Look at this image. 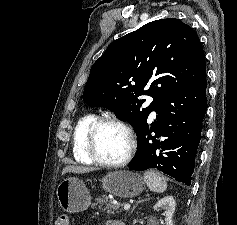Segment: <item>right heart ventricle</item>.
Instances as JSON below:
<instances>
[{"label": "right heart ventricle", "instance_id": "1", "mask_svg": "<svg viewBox=\"0 0 237 225\" xmlns=\"http://www.w3.org/2000/svg\"><path fill=\"white\" fill-rule=\"evenodd\" d=\"M97 120V116L93 113H87L80 117L76 122L73 131V147L72 152L76 161L92 164L94 160L89 156L86 150V136L90 126Z\"/></svg>", "mask_w": 237, "mask_h": 225}]
</instances>
